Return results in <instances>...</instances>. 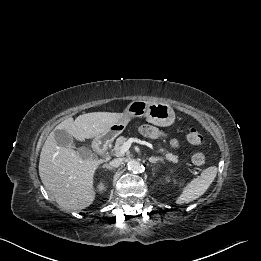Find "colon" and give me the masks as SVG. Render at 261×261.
Instances as JSON below:
<instances>
[{"mask_svg":"<svg viewBox=\"0 0 261 261\" xmlns=\"http://www.w3.org/2000/svg\"><path fill=\"white\" fill-rule=\"evenodd\" d=\"M186 141L192 146H198L202 143L203 137L197 128L190 127L186 132ZM192 162L197 166H201L206 162V155L201 151L195 152L192 155Z\"/></svg>","mask_w":261,"mask_h":261,"instance_id":"obj_1","label":"colon"}]
</instances>
